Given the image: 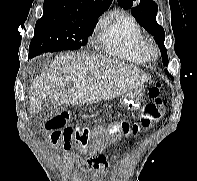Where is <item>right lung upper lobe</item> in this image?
I'll return each mask as SVG.
<instances>
[{"mask_svg": "<svg viewBox=\"0 0 197 181\" xmlns=\"http://www.w3.org/2000/svg\"><path fill=\"white\" fill-rule=\"evenodd\" d=\"M111 3L112 0H45L43 12L70 17L103 14Z\"/></svg>", "mask_w": 197, "mask_h": 181, "instance_id": "1", "label": "right lung upper lobe"}]
</instances>
